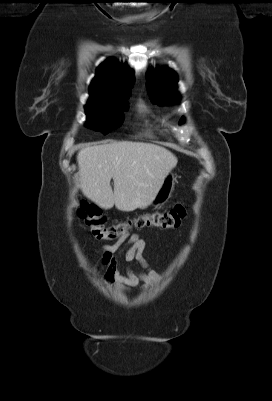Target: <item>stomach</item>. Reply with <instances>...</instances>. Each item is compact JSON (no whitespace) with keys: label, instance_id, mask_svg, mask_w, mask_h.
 Instances as JSON below:
<instances>
[{"label":"stomach","instance_id":"0dacf381","mask_svg":"<svg viewBox=\"0 0 272 401\" xmlns=\"http://www.w3.org/2000/svg\"><path fill=\"white\" fill-rule=\"evenodd\" d=\"M174 183H175V177L172 173H169L165 177L162 186L160 187L152 204L160 206L166 203L171 196L172 190L174 188Z\"/></svg>","mask_w":272,"mask_h":401}]
</instances>
